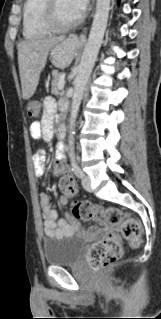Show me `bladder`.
I'll use <instances>...</instances> for the list:
<instances>
[{
    "instance_id": "1",
    "label": "bladder",
    "mask_w": 161,
    "mask_h": 319,
    "mask_svg": "<svg viewBox=\"0 0 161 319\" xmlns=\"http://www.w3.org/2000/svg\"><path fill=\"white\" fill-rule=\"evenodd\" d=\"M85 242L78 236H46L43 241L44 263L52 266H69L82 257Z\"/></svg>"
}]
</instances>
